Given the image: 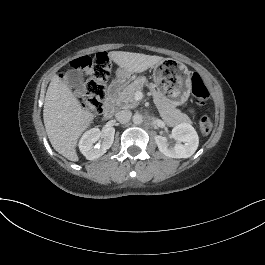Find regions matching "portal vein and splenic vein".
Segmentation results:
<instances>
[{
  "label": "portal vein and splenic vein",
  "mask_w": 265,
  "mask_h": 265,
  "mask_svg": "<svg viewBox=\"0 0 265 265\" xmlns=\"http://www.w3.org/2000/svg\"><path fill=\"white\" fill-rule=\"evenodd\" d=\"M135 95L139 96V95H141V93H140V92H136V94H135Z\"/></svg>",
  "instance_id": "1"
}]
</instances>
